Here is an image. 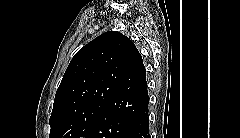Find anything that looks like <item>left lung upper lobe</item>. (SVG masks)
<instances>
[{
	"label": "left lung upper lobe",
	"mask_w": 240,
	"mask_h": 138,
	"mask_svg": "<svg viewBox=\"0 0 240 138\" xmlns=\"http://www.w3.org/2000/svg\"><path fill=\"white\" fill-rule=\"evenodd\" d=\"M139 54L128 37L114 31L80 49L57 89L49 138L88 137Z\"/></svg>",
	"instance_id": "5c2ea615"
}]
</instances>
